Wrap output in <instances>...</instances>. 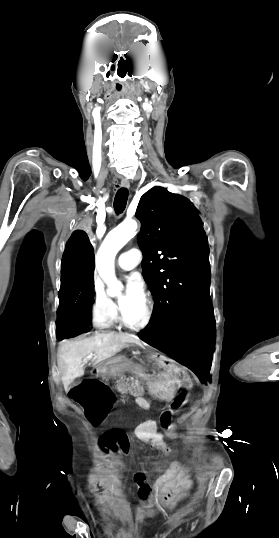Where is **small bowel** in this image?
Instances as JSON below:
<instances>
[{
  "instance_id": "obj_1",
  "label": "small bowel",
  "mask_w": 279,
  "mask_h": 538,
  "mask_svg": "<svg viewBox=\"0 0 279 538\" xmlns=\"http://www.w3.org/2000/svg\"><path fill=\"white\" fill-rule=\"evenodd\" d=\"M187 394L177 392L169 400L167 407L161 414L160 424L165 429L170 438L176 437L173 416L186 403ZM138 436L145 442L151 444L154 448L161 449L165 452H170L168 446L164 443V436L158 432V424L156 421H148L138 429ZM173 474L171 471L163 473V475L155 483V490L159 494V500L165 501L167 494L171 489ZM185 484H188L187 482Z\"/></svg>"
}]
</instances>
